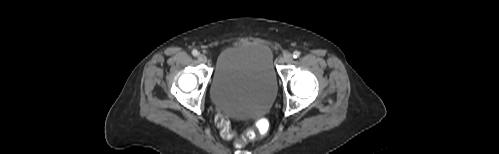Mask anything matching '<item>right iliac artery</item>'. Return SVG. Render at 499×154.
Returning <instances> with one entry per match:
<instances>
[{"mask_svg":"<svg viewBox=\"0 0 499 154\" xmlns=\"http://www.w3.org/2000/svg\"><path fill=\"white\" fill-rule=\"evenodd\" d=\"M192 54H193V56H195V57H196V56H198V55H199V52H198L196 49H194V50L192 51Z\"/></svg>","mask_w":499,"mask_h":154,"instance_id":"obj_1","label":"right iliac artery"}]
</instances>
